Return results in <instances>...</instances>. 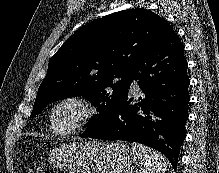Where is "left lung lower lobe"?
Instances as JSON below:
<instances>
[{"label":"left lung lower lobe","mask_w":219,"mask_h":173,"mask_svg":"<svg viewBox=\"0 0 219 173\" xmlns=\"http://www.w3.org/2000/svg\"><path fill=\"white\" fill-rule=\"evenodd\" d=\"M132 80H138L145 98L131 105L127 94L106 123L81 136L142 143L163 153L176 169L186 137L190 80L183 43L174 30L138 60Z\"/></svg>","instance_id":"left-lung-lower-lobe-1"}]
</instances>
